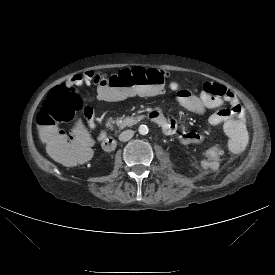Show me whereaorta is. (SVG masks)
<instances>
[{
	"label": "aorta",
	"mask_w": 275,
	"mask_h": 275,
	"mask_svg": "<svg viewBox=\"0 0 275 275\" xmlns=\"http://www.w3.org/2000/svg\"><path fill=\"white\" fill-rule=\"evenodd\" d=\"M138 131L141 135H146L148 133V127L146 125H140Z\"/></svg>",
	"instance_id": "762f6f07"
}]
</instances>
